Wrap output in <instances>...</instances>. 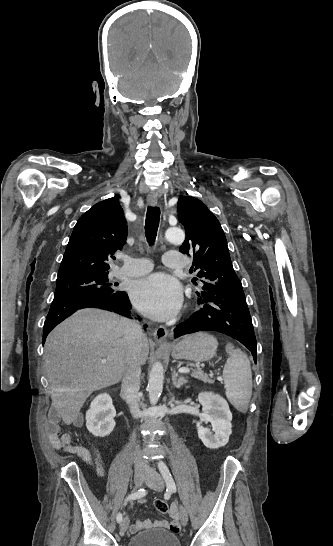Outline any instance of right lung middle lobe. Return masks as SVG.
I'll return each instance as SVG.
<instances>
[{
	"instance_id": "right-lung-middle-lobe-1",
	"label": "right lung middle lobe",
	"mask_w": 333,
	"mask_h": 546,
	"mask_svg": "<svg viewBox=\"0 0 333 546\" xmlns=\"http://www.w3.org/2000/svg\"><path fill=\"white\" fill-rule=\"evenodd\" d=\"M115 292L117 289L108 283V273L79 274L57 279L54 298L86 294L113 295Z\"/></svg>"
}]
</instances>
